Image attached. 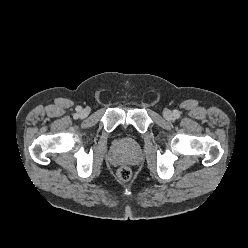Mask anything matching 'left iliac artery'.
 Wrapping results in <instances>:
<instances>
[{
  "label": "left iliac artery",
  "mask_w": 248,
  "mask_h": 248,
  "mask_svg": "<svg viewBox=\"0 0 248 248\" xmlns=\"http://www.w3.org/2000/svg\"><path fill=\"white\" fill-rule=\"evenodd\" d=\"M173 114L175 118H178L180 116L179 111L177 110H174Z\"/></svg>",
  "instance_id": "left-iliac-artery-1"
}]
</instances>
